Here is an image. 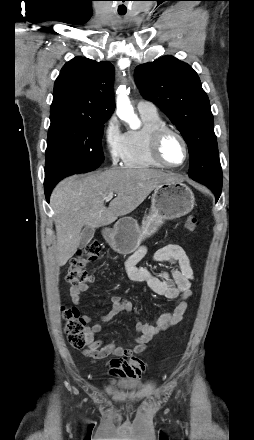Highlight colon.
Wrapping results in <instances>:
<instances>
[{
	"instance_id": "colon-1",
	"label": "colon",
	"mask_w": 254,
	"mask_h": 440,
	"mask_svg": "<svg viewBox=\"0 0 254 440\" xmlns=\"http://www.w3.org/2000/svg\"><path fill=\"white\" fill-rule=\"evenodd\" d=\"M197 224L196 216H187L185 220L187 230L194 231ZM100 253L101 245L98 242H92L80 248L70 262L66 275L67 282L77 286L90 283L93 280V275L88 273L84 267L87 263L98 259ZM63 318L69 344L73 348H83L87 342L86 318L81 316L76 308H64Z\"/></svg>"
}]
</instances>
